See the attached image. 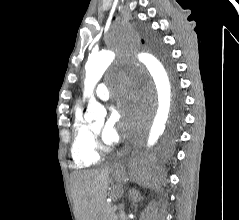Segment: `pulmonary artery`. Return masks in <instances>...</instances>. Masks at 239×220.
I'll list each match as a JSON object with an SVG mask.
<instances>
[{
	"instance_id": "1",
	"label": "pulmonary artery",
	"mask_w": 239,
	"mask_h": 220,
	"mask_svg": "<svg viewBox=\"0 0 239 220\" xmlns=\"http://www.w3.org/2000/svg\"><path fill=\"white\" fill-rule=\"evenodd\" d=\"M96 96L103 101H106L110 98V92L106 84L101 83L97 86Z\"/></svg>"
}]
</instances>
